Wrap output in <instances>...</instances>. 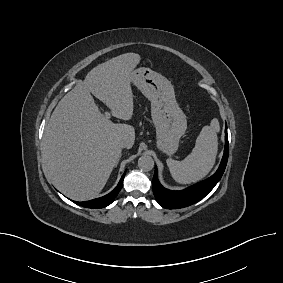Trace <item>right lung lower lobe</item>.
I'll return each instance as SVG.
<instances>
[{
  "instance_id": "obj_1",
  "label": "right lung lower lobe",
  "mask_w": 283,
  "mask_h": 283,
  "mask_svg": "<svg viewBox=\"0 0 283 283\" xmlns=\"http://www.w3.org/2000/svg\"><path fill=\"white\" fill-rule=\"evenodd\" d=\"M125 173L121 177L118 185L109 194H107L103 197L97 198V199L90 200V201H85V202L74 201V202L76 204L83 206V207H86V208H104V207L108 206L109 204H111L114 201L115 197L118 195L119 191L121 190Z\"/></svg>"
}]
</instances>
